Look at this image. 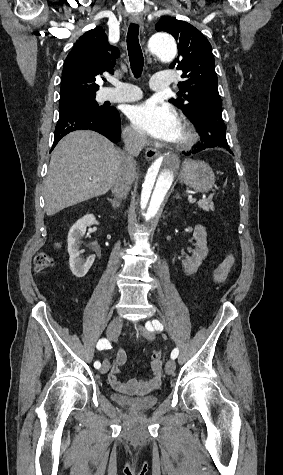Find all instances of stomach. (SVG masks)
Wrapping results in <instances>:
<instances>
[{
  "instance_id": "stomach-1",
  "label": "stomach",
  "mask_w": 283,
  "mask_h": 475,
  "mask_svg": "<svg viewBox=\"0 0 283 475\" xmlns=\"http://www.w3.org/2000/svg\"><path fill=\"white\" fill-rule=\"evenodd\" d=\"M180 180L197 192H209L215 184V174L209 164L202 160H184Z\"/></svg>"
}]
</instances>
